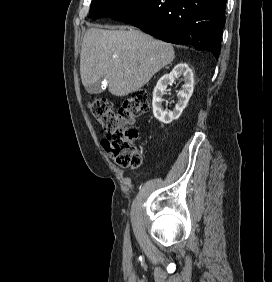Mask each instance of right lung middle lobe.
I'll return each instance as SVG.
<instances>
[{"label": "right lung middle lobe", "instance_id": "obj_1", "mask_svg": "<svg viewBox=\"0 0 272 282\" xmlns=\"http://www.w3.org/2000/svg\"><path fill=\"white\" fill-rule=\"evenodd\" d=\"M137 0H92L90 14L94 19L110 17Z\"/></svg>", "mask_w": 272, "mask_h": 282}]
</instances>
